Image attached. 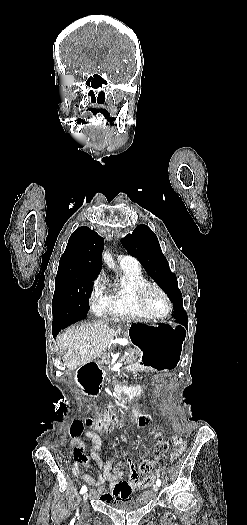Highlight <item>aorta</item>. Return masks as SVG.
<instances>
[{
	"instance_id": "obj_1",
	"label": "aorta",
	"mask_w": 247,
	"mask_h": 525,
	"mask_svg": "<svg viewBox=\"0 0 247 525\" xmlns=\"http://www.w3.org/2000/svg\"><path fill=\"white\" fill-rule=\"evenodd\" d=\"M103 259L105 262H107L108 264H110V257H109V254L108 253H104L103 254Z\"/></svg>"
}]
</instances>
